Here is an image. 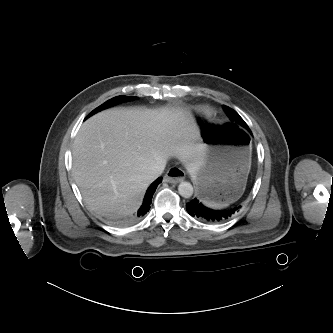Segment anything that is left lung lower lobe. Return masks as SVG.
<instances>
[{"label": "left lung lower lobe", "instance_id": "obj_1", "mask_svg": "<svg viewBox=\"0 0 333 333\" xmlns=\"http://www.w3.org/2000/svg\"><path fill=\"white\" fill-rule=\"evenodd\" d=\"M240 207L225 209V210H213L202 205L196 198L186 204L187 212L200 220L211 223L223 222L230 219Z\"/></svg>", "mask_w": 333, "mask_h": 333}]
</instances>
